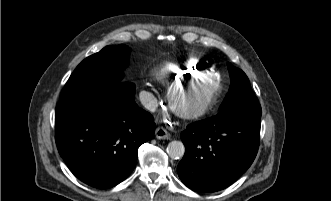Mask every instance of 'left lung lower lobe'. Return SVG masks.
<instances>
[{
  "mask_svg": "<svg viewBox=\"0 0 331 201\" xmlns=\"http://www.w3.org/2000/svg\"><path fill=\"white\" fill-rule=\"evenodd\" d=\"M261 106L235 107L194 122L181 133L186 153L178 165L181 181L197 192H215L235 182L254 161Z\"/></svg>",
  "mask_w": 331,
  "mask_h": 201,
  "instance_id": "obj_1",
  "label": "left lung lower lobe"
}]
</instances>
